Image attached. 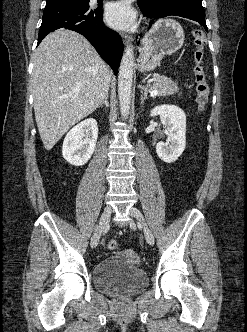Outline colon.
Wrapping results in <instances>:
<instances>
[{
	"label": "colon",
	"mask_w": 247,
	"mask_h": 332,
	"mask_svg": "<svg viewBox=\"0 0 247 332\" xmlns=\"http://www.w3.org/2000/svg\"><path fill=\"white\" fill-rule=\"evenodd\" d=\"M193 40L195 45L194 51V85H195V102L200 111L204 110L209 99V86L206 79V74L203 67L204 48L206 43V35L200 29H194ZM118 244L111 239L107 242V247L110 250H115Z\"/></svg>",
	"instance_id": "obj_1"
}]
</instances>
